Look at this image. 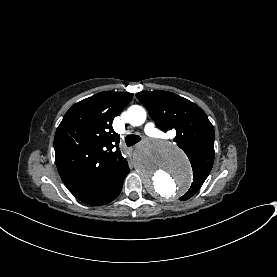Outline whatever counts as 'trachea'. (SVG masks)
<instances>
[{
	"instance_id": "3493384b",
	"label": "trachea",
	"mask_w": 277,
	"mask_h": 277,
	"mask_svg": "<svg viewBox=\"0 0 277 277\" xmlns=\"http://www.w3.org/2000/svg\"><path fill=\"white\" fill-rule=\"evenodd\" d=\"M140 141V136L138 135H127L125 137V142L128 147L133 146L134 144L138 143Z\"/></svg>"
}]
</instances>
